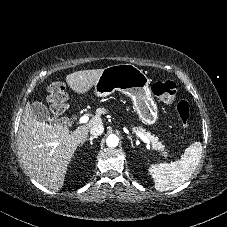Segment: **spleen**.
<instances>
[{
    "label": "spleen",
    "mask_w": 227,
    "mask_h": 227,
    "mask_svg": "<svg viewBox=\"0 0 227 227\" xmlns=\"http://www.w3.org/2000/svg\"><path fill=\"white\" fill-rule=\"evenodd\" d=\"M202 151V145L197 141L185 149L180 160L150 165L148 170L155 189L161 192L172 190L189 180L199 165Z\"/></svg>",
    "instance_id": "1"
}]
</instances>
